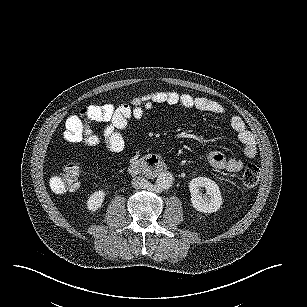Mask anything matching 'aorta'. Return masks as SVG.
<instances>
[{
	"label": "aorta",
	"mask_w": 307,
	"mask_h": 307,
	"mask_svg": "<svg viewBox=\"0 0 307 307\" xmlns=\"http://www.w3.org/2000/svg\"><path fill=\"white\" fill-rule=\"evenodd\" d=\"M174 177L170 172H161L156 178V185L162 190H168L172 187Z\"/></svg>",
	"instance_id": "obj_1"
}]
</instances>
